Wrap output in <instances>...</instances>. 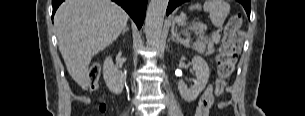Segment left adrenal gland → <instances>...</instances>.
I'll use <instances>...</instances> for the list:
<instances>
[{"label": "left adrenal gland", "mask_w": 305, "mask_h": 116, "mask_svg": "<svg viewBox=\"0 0 305 116\" xmlns=\"http://www.w3.org/2000/svg\"><path fill=\"white\" fill-rule=\"evenodd\" d=\"M175 37L177 38V40H175ZM170 40L176 41L177 43H179L178 36H177L176 33L174 32V30L172 31V36H171Z\"/></svg>", "instance_id": "a2214340"}]
</instances>
